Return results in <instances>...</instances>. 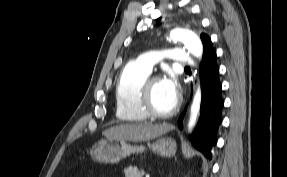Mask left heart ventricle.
Returning a JSON list of instances; mask_svg holds the SVG:
<instances>
[{
    "label": "left heart ventricle",
    "instance_id": "b2bd125f",
    "mask_svg": "<svg viewBox=\"0 0 287 177\" xmlns=\"http://www.w3.org/2000/svg\"><path fill=\"white\" fill-rule=\"evenodd\" d=\"M176 98L177 97L173 96L167 90L162 81H157L153 84L151 89V100L156 111L166 112L170 110L174 106Z\"/></svg>",
    "mask_w": 287,
    "mask_h": 177
}]
</instances>
